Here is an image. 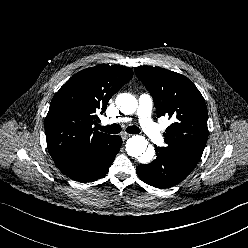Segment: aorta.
Segmentation results:
<instances>
[{
    "mask_svg": "<svg viewBox=\"0 0 248 248\" xmlns=\"http://www.w3.org/2000/svg\"><path fill=\"white\" fill-rule=\"evenodd\" d=\"M116 105L124 114H133L138 102L134 96L128 93H121L116 97ZM126 151L129 156L138 158L140 163H149L155 151L153 148H148V141L143 136L135 135L129 138L126 142Z\"/></svg>",
    "mask_w": 248,
    "mask_h": 248,
    "instance_id": "1",
    "label": "aorta"
}]
</instances>
